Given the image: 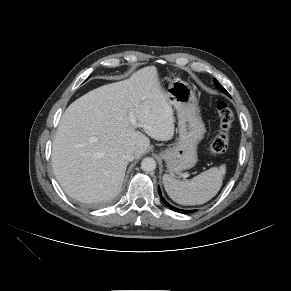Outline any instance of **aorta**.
Instances as JSON below:
<instances>
[{
  "instance_id": "aorta-1",
  "label": "aorta",
  "mask_w": 291,
  "mask_h": 291,
  "mask_svg": "<svg viewBox=\"0 0 291 291\" xmlns=\"http://www.w3.org/2000/svg\"><path fill=\"white\" fill-rule=\"evenodd\" d=\"M156 161L151 157H146L141 162V168L144 171H153L156 168Z\"/></svg>"
}]
</instances>
